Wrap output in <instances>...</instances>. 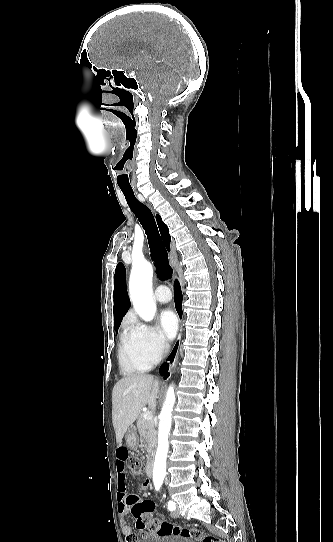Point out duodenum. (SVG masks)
<instances>
[{"mask_svg":"<svg viewBox=\"0 0 333 542\" xmlns=\"http://www.w3.org/2000/svg\"><path fill=\"white\" fill-rule=\"evenodd\" d=\"M153 468H154L153 461H152V460H149V461L146 463V467H145L146 475H147L148 477H152V475H153Z\"/></svg>","mask_w":333,"mask_h":542,"instance_id":"duodenum-1","label":"duodenum"}]
</instances>
